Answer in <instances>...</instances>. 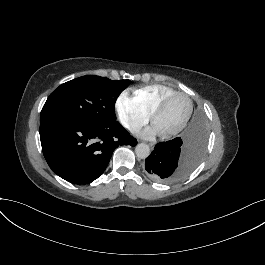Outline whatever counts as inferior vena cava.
<instances>
[{"label":"inferior vena cava","mask_w":265,"mask_h":265,"mask_svg":"<svg viewBox=\"0 0 265 265\" xmlns=\"http://www.w3.org/2000/svg\"><path fill=\"white\" fill-rule=\"evenodd\" d=\"M138 129H140V128H138V127H136V126H131V127L129 128V130H130L131 132H135V131H137Z\"/></svg>","instance_id":"obj_1"}]
</instances>
